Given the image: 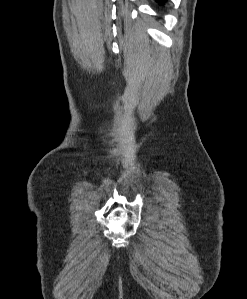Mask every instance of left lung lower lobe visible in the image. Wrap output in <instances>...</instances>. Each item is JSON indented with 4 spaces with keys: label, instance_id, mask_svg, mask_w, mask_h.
I'll return each instance as SVG.
<instances>
[{
    "label": "left lung lower lobe",
    "instance_id": "0a47b994",
    "mask_svg": "<svg viewBox=\"0 0 247 299\" xmlns=\"http://www.w3.org/2000/svg\"><path fill=\"white\" fill-rule=\"evenodd\" d=\"M158 2H160L161 4H163L164 2H166V0H158Z\"/></svg>",
    "mask_w": 247,
    "mask_h": 299
}]
</instances>
